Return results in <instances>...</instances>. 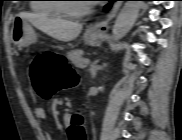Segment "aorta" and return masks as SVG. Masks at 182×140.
<instances>
[{
	"mask_svg": "<svg viewBox=\"0 0 182 140\" xmlns=\"http://www.w3.org/2000/svg\"><path fill=\"white\" fill-rule=\"evenodd\" d=\"M141 5V1L125 2L113 26L112 37L114 40L122 39L131 30L138 17Z\"/></svg>",
	"mask_w": 182,
	"mask_h": 140,
	"instance_id": "1",
	"label": "aorta"
}]
</instances>
